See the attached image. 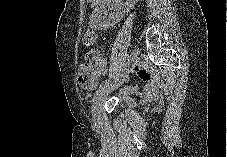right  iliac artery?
<instances>
[{"label": "right iliac artery", "mask_w": 227, "mask_h": 157, "mask_svg": "<svg viewBox=\"0 0 227 157\" xmlns=\"http://www.w3.org/2000/svg\"><path fill=\"white\" fill-rule=\"evenodd\" d=\"M128 63H129V55L125 54L123 62L121 63V65H118V67H117L118 69H115V73H113V75H111V78H114L115 74H120V70H125V68L128 65ZM111 78L106 79L105 81H103L100 84L98 90L96 91V96H98V94L101 92V90H103L108 85V83L110 82Z\"/></svg>", "instance_id": "obj_1"}]
</instances>
